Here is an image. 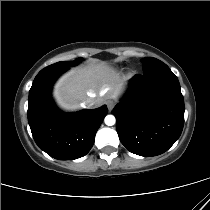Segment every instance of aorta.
Returning a JSON list of instances; mask_svg holds the SVG:
<instances>
[{
	"label": "aorta",
	"instance_id": "obj_1",
	"mask_svg": "<svg viewBox=\"0 0 210 210\" xmlns=\"http://www.w3.org/2000/svg\"><path fill=\"white\" fill-rule=\"evenodd\" d=\"M105 121V124L108 125V126H112L115 124L116 122V119L113 115H107L104 119Z\"/></svg>",
	"mask_w": 210,
	"mask_h": 210
}]
</instances>
